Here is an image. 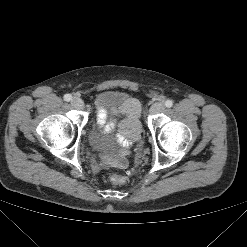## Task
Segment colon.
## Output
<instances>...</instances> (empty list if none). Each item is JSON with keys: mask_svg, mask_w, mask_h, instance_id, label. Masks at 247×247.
<instances>
[{"mask_svg": "<svg viewBox=\"0 0 247 247\" xmlns=\"http://www.w3.org/2000/svg\"><path fill=\"white\" fill-rule=\"evenodd\" d=\"M127 180H128V177L123 176V175H114L111 177L112 183L116 185H122L126 183Z\"/></svg>", "mask_w": 247, "mask_h": 247, "instance_id": "obj_1", "label": "colon"}]
</instances>
